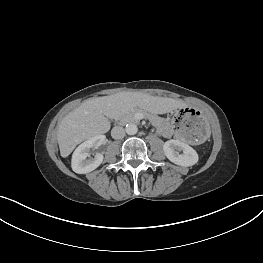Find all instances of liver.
Masks as SVG:
<instances>
[{
	"mask_svg": "<svg viewBox=\"0 0 263 263\" xmlns=\"http://www.w3.org/2000/svg\"><path fill=\"white\" fill-rule=\"evenodd\" d=\"M183 105L180 100L140 92H120L88 99L61 121L57 132L60 154L64 158L68 157L84 140L108 132V118H120L135 107L147 109L155 114H164Z\"/></svg>",
	"mask_w": 263,
	"mask_h": 263,
	"instance_id": "obj_1",
	"label": "liver"
}]
</instances>
